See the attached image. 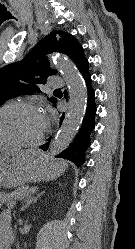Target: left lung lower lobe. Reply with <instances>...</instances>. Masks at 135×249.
Listing matches in <instances>:
<instances>
[{"instance_id":"obj_1","label":"left lung lower lobe","mask_w":135,"mask_h":249,"mask_svg":"<svg viewBox=\"0 0 135 249\" xmlns=\"http://www.w3.org/2000/svg\"><path fill=\"white\" fill-rule=\"evenodd\" d=\"M85 84L87 86V106L86 113L82 122V126L74 138L72 144L65 149L59 157L65 158L72 161L76 166H81L85 162V152L90 146V135L95 128V115H96V105H95V92L92 87L91 75L89 72V63H87L80 71ZM67 98L66 91L64 92ZM56 104V103H55ZM64 116L61 117L60 123L63 121ZM50 139L47 143L40 146L44 151L48 149Z\"/></svg>"}]
</instances>
